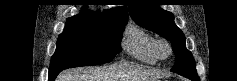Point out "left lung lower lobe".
Segmentation results:
<instances>
[{"instance_id":"1","label":"left lung lower lobe","mask_w":237,"mask_h":81,"mask_svg":"<svg viewBox=\"0 0 237 81\" xmlns=\"http://www.w3.org/2000/svg\"><path fill=\"white\" fill-rule=\"evenodd\" d=\"M184 77H186V78H188V79H190V80H192V81H199V80H197V79H195V78H191V77H187V76H184Z\"/></svg>"}]
</instances>
